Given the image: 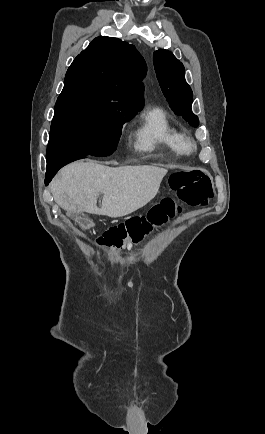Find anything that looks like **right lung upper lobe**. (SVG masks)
I'll return each mask as SVG.
<instances>
[{
  "mask_svg": "<svg viewBox=\"0 0 265 434\" xmlns=\"http://www.w3.org/2000/svg\"><path fill=\"white\" fill-rule=\"evenodd\" d=\"M146 63L135 46L118 38L99 36L67 70L64 86L89 85L143 106Z\"/></svg>",
  "mask_w": 265,
  "mask_h": 434,
  "instance_id": "right-lung-upper-lobe-1",
  "label": "right lung upper lobe"
}]
</instances>
